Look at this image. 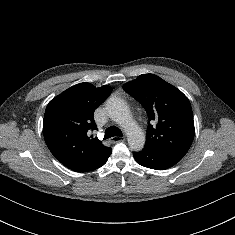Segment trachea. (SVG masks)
I'll return each mask as SVG.
<instances>
[{
    "label": "trachea",
    "mask_w": 235,
    "mask_h": 235,
    "mask_svg": "<svg viewBox=\"0 0 235 235\" xmlns=\"http://www.w3.org/2000/svg\"><path fill=\"white\" fill-rule=\"evenodd\" d=\"M113 136H120V137H122L123 134H122V132H121V130L119 128H117L115 126H111V127L106 129L104 138L108 139V138H111Z\"/></svg>",
    "instance_id": "3493384b"
}]
</instances>
